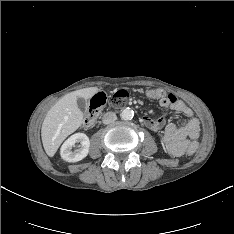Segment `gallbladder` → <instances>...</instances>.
I'll list each match as a JSON object with an SVG mask.
<instances>
[{"label":"gallbladder","mask_w":234,"mask_h":234,"mask_svg":"<svg viewBox=\"0 0 234 234\" xmlns=\"http://www.w3.org/2000/svg\"><path fill=\"white\" fill-rule=\"evenodd\" d=\"M77 105H78V107H79V109L81 110V111H86V109H87V102H86V100L85 99H83V98H78L77 99Z\"/></svg>","instance_id":"obj_1"}]
</instances>
